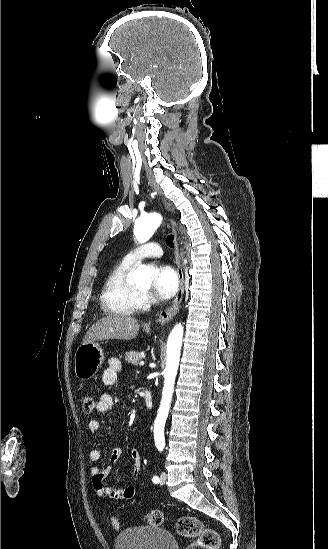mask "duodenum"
I'll list each match as a JSON object with an SVG mask.
<instances>
[{
    "label": "duodenum",
    "mask_w": 328,
    "mask_h": 549,
    "mask_svg": "<svg viewBox=\"0 0 328 549\" xmlns=\"http://www.w3.org/2000/svg\"><path fill=\"white\" fill-rule=\"evenodd\" d=\"M143 398H144V402H145V405L148 409H151L152 406H153V396H152V393L150 392V390L146 389L143 391Z\"/></svg>",
    "instance_id": "1"
}]
</instances>
